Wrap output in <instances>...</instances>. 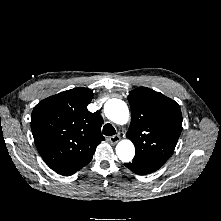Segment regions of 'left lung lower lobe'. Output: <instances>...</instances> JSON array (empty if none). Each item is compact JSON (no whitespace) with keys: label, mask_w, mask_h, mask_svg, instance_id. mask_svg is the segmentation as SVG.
Wrapping results in <instances>:
<instances>
[{"label":"left lung lower lobe","mask_w":221,"mask_h":221,"mask_svg":"<svg viewBox=\"0 0 221 221\" xmlns=\"http://www.w3.org/2000/svg\"><path fill=\"white\" fill-rule=\"evenodd\" d=\"M125 166L138 175H146L158 170L162 165L134 158L131 163Z\"/></svg>","instance_id":"0a47b994"}]
</instances>
